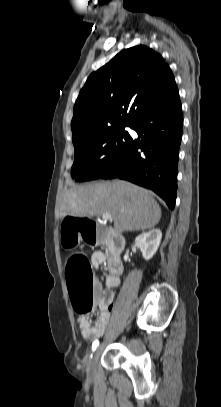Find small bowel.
Segmentation results:
<instances>
[{"label":"small bowel","mask_w":221,"mask_h":407,"mask_svg":"<svg viewBox=\"0 0 221 407\" xmlns=\"http://www.w3.org/2000/svg\"><path fill=\"white\" fill-rule=\"evenodd\" d=\"M105 260V255L100 251L94 252L91 256V262L95 269H99L105 263ZM104 284L105 290L95 287V305L98 309L97 322L93 324L86 317L78 318V326L82 336L88 342L100 337L104 333L114 308L112 289L119 286L120 278L118 275L105 273Z\"/></svg>","instance_id":"small-bowel-1"}]
</instances>
